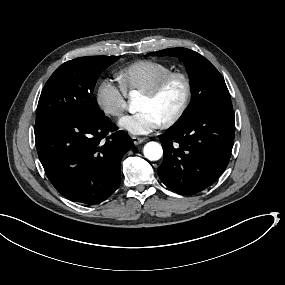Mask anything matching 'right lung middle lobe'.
Returning a JSON list of instances; mask_svg holds the SVG:
<instances>
[{
    "mask_svg": "<svg viewBox=\"0 0 285 285\" xmlns=\"http://www.w3.org/2000/svg\"><path fill=\"white\" fill-rule=\"evenodd\" d=\"M114 62L90 56L65 62L45 84L36 111V122L65 114L84 119L103 118L92 93L100 74Z\"/></svg>",
    "mask_w": 285,
    "mask_h": 285,
    "instance_id": "1",
    "label": "right lung middle lobe"
}]
</instances>
